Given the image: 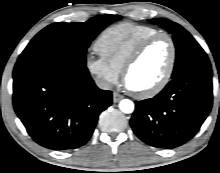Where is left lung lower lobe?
<instances>
[{"mask_svg": "<svg viewBox=\"0 0 220 173\" xmlns=\"http://www.w3.org/2000/svg\"><path fill=\"white\" fill-rule=\"evenodd\" d=\"M135 105L130 124L143 142L167 149L181 146L195 136L211 110L212 70L179 75L154 98Z\"/></svg>", "mask_w": 220, "mask_h": 173, "instance_id": "0a47b994", "label": "left lung lower lobe"}]
</instances>
